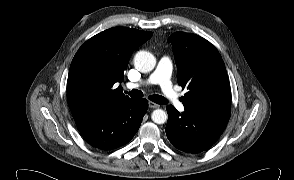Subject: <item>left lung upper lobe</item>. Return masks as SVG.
Instances as JSON below:
<instances>
[{"instance_id":"left-lung-upper-lobe-1","label":"left lung upper lobe","mask_w":294,"mask_h":180,"mask_svg":"<svg viewBox=\"0 0 294 180\" xmlns=\"http://www.w3.org/2000/svg\"><path fill=\"white\" fill-rule=\"evenodd\" d=\"M177 63V80L188 92L185 110L230 114V84L218 50L206 39L176 32L168 38Z\"/></svg>"}]
</instances>
